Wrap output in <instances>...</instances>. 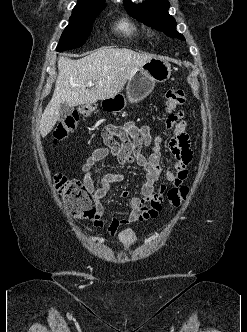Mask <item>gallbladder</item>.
Returning a JSON list of instances; mask_svg holds the SVG:
<instances>
[{
	"label": "gallbladder",
	"instance_id": "1",
	"mask_svg": "<svg viewBox=\"0 0 247 332\" xmlns=\"http://www.w3.org/2000/svg\"><path fill=\"white\" fill-rule=\"evenodd\" d=\"M73 112V107L66 103H63L60 107L59 116L60 118H65Z\"/></svg>",
	"mask_w": 247,
	"mask_h": 332
}]
</instances>
